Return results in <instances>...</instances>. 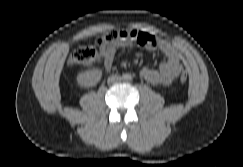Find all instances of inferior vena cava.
<instances>
[{"instance_id":"obj_1","label":"inferior vena cava","mask_w":243,"mask_h":167,"mask_svg":"<svg viewBox=\"0 0 243 167\" xmlns=\"http://www.w3.org/2000/svg\"><path fill=\"white\" fill-rule=\"evenodd\" d=\"M121 77L117 75H112L108 78V84H116L121 81Z\"/></svg>"}]
</instances>
